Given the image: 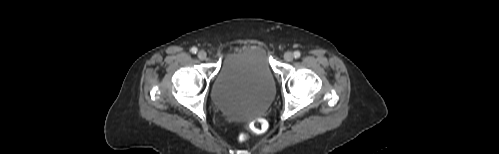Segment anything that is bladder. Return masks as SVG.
Listing matches in <instances>:
<instances>
[{"label": "bladder", "instance_id": "1", "mask_svg": "<svg viewBox=\"0 0 499 154\" xmlns=\"http://www.w3.org/2000/svg\"><path fill=\"white\" fill-rule=\"evenodd\" d=\"M275 93V73L267 49L261 44L233 49L222 62L212 86L215 105L237 118L261 114Z\"/></svg>", "mask_w": 499, "mask_h": 154}]
</instances>
